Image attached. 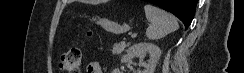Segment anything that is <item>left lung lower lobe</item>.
<instances>
[{"label": "left lung lower lobe", "mask_w": 244, "mask_h": 73, "mask_svg": "<svg viewBox=\"0 0 244 73\" xmlns=\"http://www.w3.org/2000/svg\"><path fill=\"white\" fill-rule=\"evenodd\" d=\"M173 13L187 29L195 14L197 0H145Z\"/></svg>", "instance_id": "obj_1"}]
</instances>
